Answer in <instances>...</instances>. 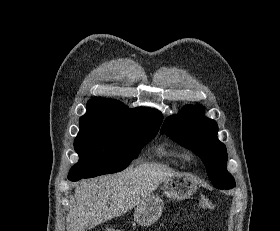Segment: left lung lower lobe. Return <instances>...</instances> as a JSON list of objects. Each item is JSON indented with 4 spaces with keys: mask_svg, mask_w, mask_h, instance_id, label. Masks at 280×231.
<instances>
[{
    "mask_svg": "<svg viewBox=\"0 0 280 231\" xmlns=\"http://www.w3.org/2000/svg\"><path fill=\"white\" fill-rule=\"evenodd\" d=\"M231 188H233V187H226V188H223V189H231Z\"/></svg>",
    "mask_w": 280,
    "mask_h": 231,
    "instance_id": "obj_1",
    "label": "left lung lower lobe"
}]
</instances>
